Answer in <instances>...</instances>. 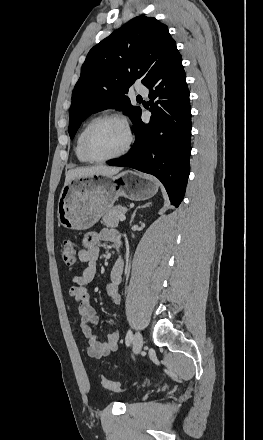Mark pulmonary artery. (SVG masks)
<instances>
[{
  "instance_id": "1",
  "label": "pulmonary artery",
  "mask_w": 263,
  "mask_h": 440,
  "mask_svg": "<svg viewBox=\"0 0 263 440\" xmlns=\"http://www.w3.org/2000/svg\"><path fill=\"white\" fill-rule=\"evenodd\" d=\"M137 92L144 96L148 95V89L146 87H138Z\"/></svg>"
}]
</instances>
